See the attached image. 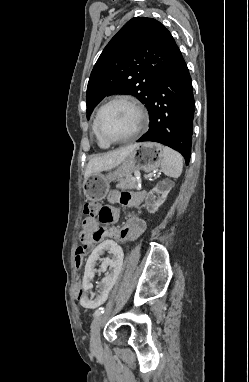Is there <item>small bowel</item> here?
<instances>
[{
	"mask_svg": "<svg viewBox=\"0 0 249 382\" xmlns=\"http://www.w3.org/2000/svg\"><path fill=\"white\" fill-rule=\"evenodd\" d=\"M144 198L145 196L140 193H129L119 191L111 192L108 196L109 205L104 207V210L109 213L108 216H103L101 218L86 217L83 219L82 229L78 236L79 241L81 243V247H79L78 249H82L85 253L88 249H93L94 243L101 241L104 237L108 235H115L117 238L125 241L134 240L137 237H139L146 229V221L140 216L131 215L126 220L124 226L117 231L108 232L102 227H100L98 223H114L119 217L117 205H122L126 207H137L141 205ZM79 295H81V293Z\"/></svg>",
	"mask_w": 249,
	"mask_h": 382,
	"instance_id": "c3829d8e",
	"label": "small bowel"
}]
</instances>
